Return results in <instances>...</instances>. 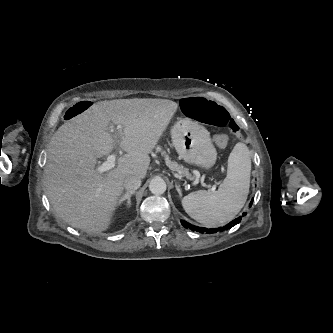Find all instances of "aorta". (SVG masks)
<instances>
[{
	"mask_svg": "<svg viewBox=\"0 0 333 333\" xmlns=\"http://www.w3.org/2000/svg\"><path fill=\"white\" fill-rule=\"evenodd\" d=\"M149 190L155 195H161L166 191V183L160 178H153L149 184Z\"/></svg>",
	"mask_w": 333,
	"mask_h": 333,
	"instance_id": "762f6f07",
	"label": "aorta"
}]
</instances>
